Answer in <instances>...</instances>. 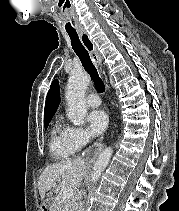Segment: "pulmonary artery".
<instances>
[{
    "label": "pulmonary artery",
    "instance_id": "e3ab8cb5",
    "mask_svg": "<svg viewBox=\"0 0 179 211\" xmlns=\"http://www.w3.org/2000/svg\"><path fill=\"white\" fill-rule=\"evenodd\" d=\"M86 102L90 107L96 108L100 106L101 99L98 94L92 93L87 96Z\"/></svg>",
    "mask_w": 179,
    "mask_h": 211
}]
</instances>
